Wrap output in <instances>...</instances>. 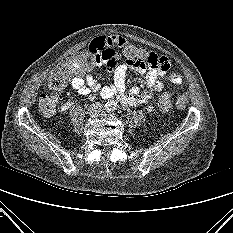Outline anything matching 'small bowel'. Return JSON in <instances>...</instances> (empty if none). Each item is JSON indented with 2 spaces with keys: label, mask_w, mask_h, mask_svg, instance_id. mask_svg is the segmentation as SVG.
Segmentation results:
<instances>
[{
  "label": "small bowel",
  "mask_w": 233,
  "mask_h": 233,
  "mask_svg": "<svg viewBox=\"0 0 233 233\" xmlns=\"http://www.w3.org/2000/svg\"><path fill=\"white\" fill-rule=\"evenodd\" d=\"M124 43L125 40L122 37L112 36L99 37L89 45V49L95 50L102 55L100 64H105L114 73L112 84L101 88L99 83L91 75H87L86 77L77 75L72 77L71 86L82 96H87L98 91H100V95L104 99L118 96L124 106H136L147 103L156 92L163 89V83L159 78L167 73L169 63L165 68L136 65L127 61L124 63L121 55L116 51V47H120ZM151 56L168 62L167 58L159 57L154 53H151ZM128 68L145 74L146 90L142 91L137 87H132L125 91V79ZM168 78L174 84H180L182 82L181 75L176 72L170 73Z\"/></svg>",
  "instance_id": "obj_1"
}]
</instances>
